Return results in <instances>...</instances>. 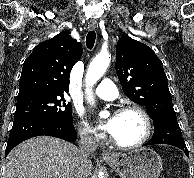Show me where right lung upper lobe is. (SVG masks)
Returning a JSON list of instances; mask_svg holds the SVG:
<instances>
[{
  "instance_id": "obj_1",
  "label": "right lung upper lobe",
  "mask_w": 194,
  "mask_h": 178,
  "mask_svg": "<svg viewBox=\"0 0 194 178\" xmlns=\"http://www.w3.org/2000/svg\"><path fill=\"white\" fill-rule=\"evenodd\" d=\"M81 55V43L66 31L38 44L24 62L17 101L68 92L70 72Z\"/></svg>"
}]
</instances>
